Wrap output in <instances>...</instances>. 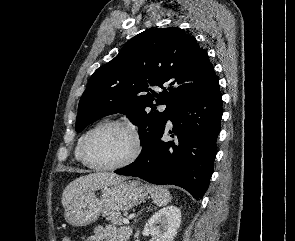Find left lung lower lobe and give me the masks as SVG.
<instances>
[{
  "mask_svg": "<svg viewBox=\"0 0 295 241\" xmlns=\"http://www.w3.org/2000/svg\"><path fill=\"white\" fill-rule=\"evenodd\" d=\"M222 114V95L216 77L172 112L168 119L173 123L169 133L174 140H162L166 121L139 157L115 173L153 184L180 186L196 200L202 199L213 173Z\"/></svg>",
  "mask_w": 295,
  "mask_h": 241,
  "instance_id": "1",
  "label": "left lung lower lobe"
}]
</instances>
